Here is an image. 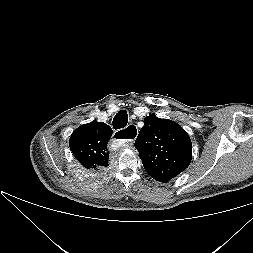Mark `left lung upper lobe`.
<instances>
[{
    "label": "left lung upper lobe",
    "instance_id": "left-lung-upper-lobe-1",
    "mask_svg": "<svg viewBox=\"0 0 253 253\" xmlns=\"http://www.w3.org/2000/svg\"><path fill=\"white\" fill-rule=\"evenodd\" d=\"M146 172L166 183L184 171L191 162L192 143L176 122L150 114L135 141Z\"/></svg>",
    "mask_w": 253,
    "mask_h": 253
}]
</instances>
